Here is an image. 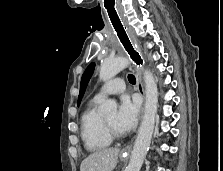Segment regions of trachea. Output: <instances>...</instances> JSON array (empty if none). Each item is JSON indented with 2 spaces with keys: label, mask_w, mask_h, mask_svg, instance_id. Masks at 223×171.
<instances>
[{
  "label": "trachea",
  "mask_w": 223,
  "mask_h": 171,
  "mask_svg": "<svg viewBox=\"0 0 223 171\" xmlns=\"http://www.w3.org/2000/svg\"><path fill=\"white\" fill-rule=\"evenodd\" d=\"M128 80H129V82H130L131 84H135V83H136V78H135V76L132 75V74H129V75H128Z\"/></svg>",
  "instance_id": "obj_1"
}]
</instances>
